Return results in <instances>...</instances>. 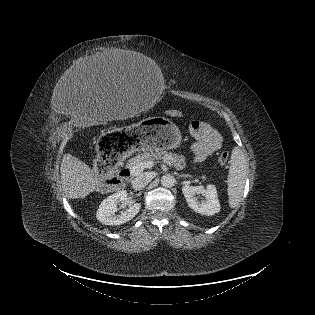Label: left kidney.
<instances>
[{
  "mask_svg": "<svg viewBox=\"0 0 315 315\" xmlns=\"http://www.w3.org/2000/svg\"><path fill=\"white\" fill-rule=\"evenodd\" d=\"M182 192L191 209L202 215H214L220 211L217 190L214 185L183 186ZM202 195L204 198H199Z\"/></svg>",
  "mask_w": 315,
  "mask_h": 315,
  "instance_id": "5707ae66",
  "label": "left kidney"
}]
</instances>
